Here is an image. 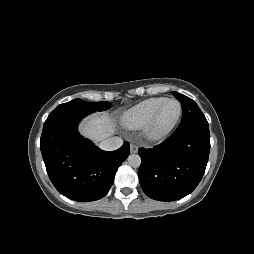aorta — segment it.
<instances>
[{
	"instance_id": "1",
	"label": "aorta",
	"mask_w": 254,
	"mask_h": 254,
	"mask_svg": "<svg viewBox=\"0 0 254 254\" xmlns=\"http://www.w3.org/2000/svg\"><path fill=\"white\" fill-rule=\"evenodd\" d=\"M127 161L131 167L137 168L141 164V157L138 154H131L128 156Z\"/></svg>"
}]
</instances>
